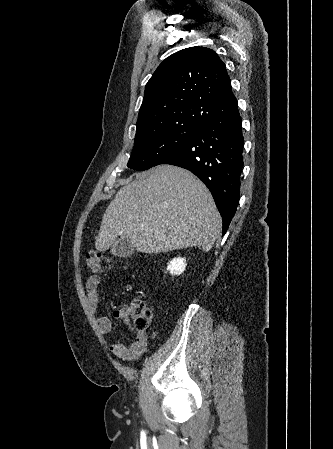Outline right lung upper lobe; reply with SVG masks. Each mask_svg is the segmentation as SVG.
Instances as JSON below:
<instances>
[{
    "label": "right lung upper lobe",
    "instance_id": "cb5924a9",
    "mask_svg": "<svg viewBox=\"0 0 333 449\" xmlns=\"http://www.w3.org/2000/svg\"><path fill=\"white\" fill-rule=\"evenodd\" d=\"M236 105L218 55L205 47L186 48L166 58L146 84L136 135L170 123L203 126Z\"/></svg>",
    "mask_w": 333,
    "mask_h": 449
}]
</instances>
